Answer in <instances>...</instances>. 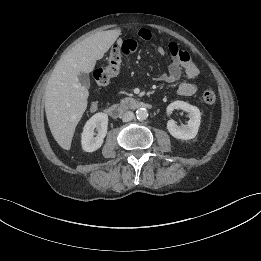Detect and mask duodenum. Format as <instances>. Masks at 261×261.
<instances>
[{
	"mask_svg": "<svg viewBox=\"0 0 261 261\" xmlns=\"http://www.w3.org/2000/svg\"><path fill=\"white\" fill-rule=\"evenodd\" d=\"M150 107L151 105L147 102L129 100L125 103L111 105L110 107L107 108L106 112L111 118L118 119L119 117L122 116L123 113H125L128 110L140 109V108L148 109Z\"/></svg>",
	"mask_w": 261,
	"mask_h": 261,
	"instance_id": "duodenum-1",
	"label": "duodenum"
}]
</instances>
